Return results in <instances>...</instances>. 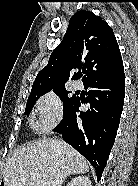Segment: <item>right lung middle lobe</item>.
<instances>
[{
	"label": "right lung middle lobe",
	"mask_w": 138,
	"mask_h": 186,
	"mask_svg": "<svg viewBox=\"0 0 138 186\" xmlns=\"http://www.w3.org/2000/svg\"><path fill=\"white\" fill-rule=\"evenodd\" d=\"M51 90L52 89L47 90V91H43V92H38V93H31L28 100H27L25 114L29 115L36 100H38V98L41 95H43ZM53 91L63 100L64 113L67 112L73 106V104L75 103V101L77 99L76 96L68 97L69 91L66 90L65 86L53 88Z\"/></svg>",
	"instance_id": "obj_1"
}]
</instances>
